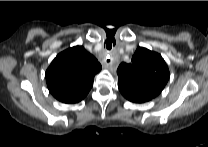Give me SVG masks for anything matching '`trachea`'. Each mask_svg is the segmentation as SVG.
<instances>
[{
  "instance_id": "1",
  "label": "trachea",
  "mask_w": 208,
  "mask_h": 147,
  "mask_svg": "<svg viewBox=\"0 0 208 147\" xmlns=\"http://www.w3.org/2000/svg\"><path fill=\"white\" fill-rule=\"evenodd\" d=\"M106 47H107V49H110L112 47V45L110 47V44H108V45H106Z\"/></svg>"
}]
</instances>
